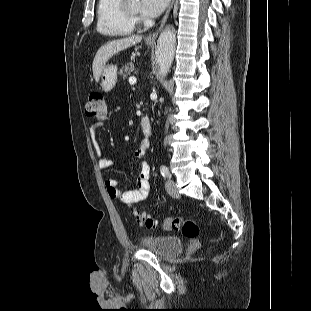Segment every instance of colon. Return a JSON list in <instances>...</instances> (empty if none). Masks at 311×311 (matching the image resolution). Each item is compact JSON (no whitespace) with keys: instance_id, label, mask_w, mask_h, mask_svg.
<instances>
[{"instance_id":"colon-1","label":"colon","mask_w":311,"mask_h":311,"mask_svg":"<svg viewBox=\"0 0 311 311\" xmlns=\"http://www.w3.org/2000/svg\"><path fill=\"white\" fill-rule=\"evenodd\" d=\"M85 113L88 117L102 119L106 116L107 108L104 95L101 92H91L85 105ZM133 217L148 229L159 226L157 220L138 210L132 211ZM160 227L165 231H177L187 238H195L200 233L198 224L185 217H174L165 219Z\"/></svg>"}]
</instances>
